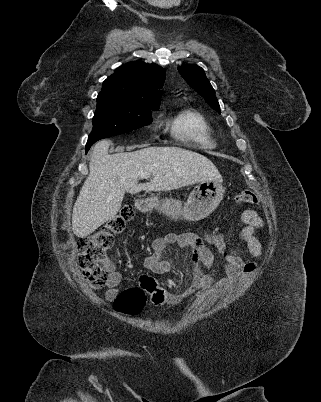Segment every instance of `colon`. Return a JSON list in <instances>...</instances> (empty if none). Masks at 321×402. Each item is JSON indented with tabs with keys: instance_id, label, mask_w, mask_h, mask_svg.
I'll use <instances>...</instances> for the list:
<instances>
[{
	"instance_id": "colon-1",
	"label": "colon",
	"mask_w": 321,
	"mask_h": 402,
	"mask_svg": "<svg viewBox=\"0 0 321 402\" xmlns=\"http://www.w3.org/2000/svg\"><path fill=\"white\" fill-rule=\"evenodd\" d=\"M236 200L243 204H259L257 196L249 191L239 193ZM133 217L134 210L125 206L94 233L78 239V263L90 288L100 290L106 285L109 277V270L105 265L106 253L112 248L116 236L125 230ZM146 300L145 291L135 286L121 292L115 305L122 314L138 315L145 307Z\"/></svg>"
}]
</instances>
